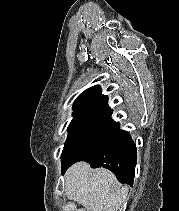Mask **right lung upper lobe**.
I'll use <instances>...</instances> for the list:
<instances>
[{"label": "right lung upper lobe", "instance_id": "cb5924a9", "mask_svg": "<svg viewBox=\"0 0 179 211\" xmlns=\"http://www.w3.org/2000/svg\"><path fill=\"white\" fill-rule=\"evenodd\" d=\"M107 103L108 97L101 94L99 86L90 87L75 100L73 115L87 112H112Z\"/></svg>", "mask_w": 179, "mask_h": 211}]
</instances>
